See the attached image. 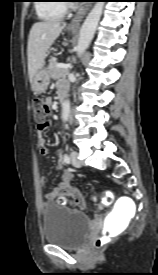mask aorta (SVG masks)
I'll list each match as a JSON object with an SVG mask.
<instances>
[{"label":"aorta","instance_id":"aorta-1","mask_svg":"<svg viewBox=\"0 0 158 275\" xmlns=\"http://www.w3.org/2000/svg\"><path fill=\"white\" fill-rule=\"evenodd\" d=\"M103 8L104 2H96L80 29L77 45V54L79 57L85 52L94 37L96 28L103 12ZM69 114L70 102L65 100L62 103V119L64 122L68 120Z\"/></svg>","mask_w":158,"mask_h":275}]
</instances>
